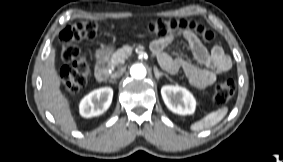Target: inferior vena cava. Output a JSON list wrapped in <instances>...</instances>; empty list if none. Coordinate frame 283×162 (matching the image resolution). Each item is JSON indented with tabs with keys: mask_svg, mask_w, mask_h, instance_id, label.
<instances>
[{
	"mask_svg": "<svg viewBox=\"0 0 283 162\" xmlns=\"http://www.w3.org/2000/svg\"><path fill=\"white\" fill-rule=\"evenodd\" d=\"M124 70H120V71H117L115 72L114 74L111 75V79L112 80H116L117 78H119L122 74H123Z\"/></svg>",
	"mask_w": 283,
	"mask_h": 162,
	"instance_id": "1",
	"label": "inferior vena cava"
}]
</instances>
